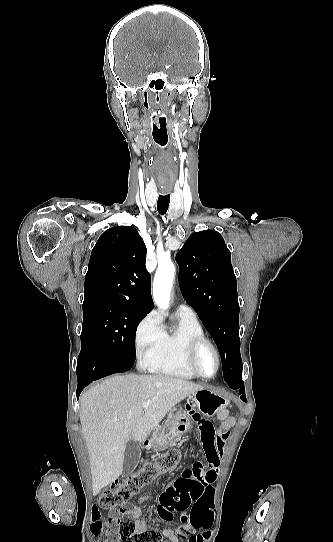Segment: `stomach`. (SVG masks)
Masks as SVG:
<instances>
[{"label":"stomach","instance_id":"obj_1","mask_svg":"<svg viewBox=\"0 0 333 542\" xmlns=\"http://www.w3.org/2000/svg\"><path fill=\"white\" fill-rule=\"evenodd\" d=\"M192 404H194L196 410L206 416V418H211L215 416L219 410L227 406V400L221 394H216L212 390H198L194 394L188 396ZM192 422L190 420H185V424L178 422H166L165 426H159L155 428L151 434H149L146 440L141 442L143 448H166L169 446L173 440H190L192 438V433L189 428Z\"/></svg>","mask_w":333,"mask_h":542}]
</instances>
